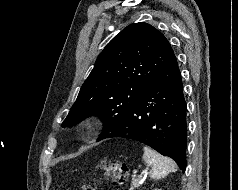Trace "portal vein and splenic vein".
I'll return each instance as SVG.
<instances>
[{"instance_id":"obj_1","label":"portal vein and splenic vein","mask_w":238,"mask_h":190,"mask_svg":"<svg viewBox=\"0 0 238 190\" xmlns=\"http://www.w3.org/2000/svg\"><path fill=\"white\" fill-rule=\"evenodd\" d=\"M142 174H147V170H144V171L142 172Z\"/></svg>"}]
</instances>
